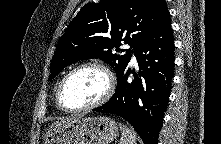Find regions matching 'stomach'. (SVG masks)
Segmentation results:
<instances>
[{"instance_id": "0dacf381", "label": "stomach", "mask_w": 221, "mask_h": 144, "mask_svg": "<svg viewBox=\"0 0 221 144\" xmlns=\"http://www.w3.org/2000/svg\"><path fill=\"white\" fill-rule=\"evenodd\" d=\"M117 134V124L109 117H82L46 137L45 144H109Z\"/></svg>"}]
</instances>
